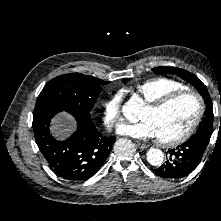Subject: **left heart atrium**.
<instances>
[{
	"instance_id": "1",
	"label": "left heart atrium",
	"mask_w": 221,
	"mask_h": 221,
	"mask_svg": "<svg viewBox=\"0 0 221 221\" xmlns=\"http://www.w3.org/2000/svg\"><path fill=\"white\" fill-rule=\"evenodd\" d=\"M117 132L120 135L132 137L138 140L158 138L155 127L148 120H141L140 122L133 124H122L118 127Z\"/></svg>"
}]
</instances>
